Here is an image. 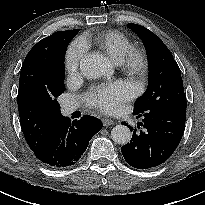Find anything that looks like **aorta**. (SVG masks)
Returning a JSON list of instances; mask_svg holds the SVG:
<instances>
[{
    "instance_id": "aorta-1",
    "label": "aorta",
    "mask_w": 205,
    "mask_h": 205,
    "mask_svg": "<svg viewBox=\"0 0 205 205\" xmlns=\"http://www.w3.org/2000/svg\"><path fill=\"white\" fill-rule=\"evenodd\" d=\"M80 71L88 79H97L109 72V65L103 55L89 53L81 59ZM131 137V131L125 125H117L111 131L112 140L119 145L127 144Z\"/></svg>"
}]
</instances>
